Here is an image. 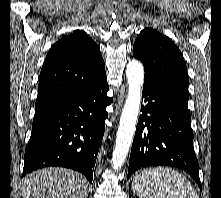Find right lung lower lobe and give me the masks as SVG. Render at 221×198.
Segmentation results:
<instances>
[{
  "instance_id": "1",
  "label": "right lung lower lobe",
  "mask_w": 221,
  "mask_h": 198,
  "mask_svg": "<svg viewBox=\"0 0 221 198\" xmlns=\"http://www.w3.org/2000/svg\"><path fill=\"white\" fill-rule=\"evenodd\" d=\"M106 76L85 90L35 114L24 155L22 176L34 170L61 166L83 173L89 182L108 117Z\"/></svg>"
}]
</instances>
